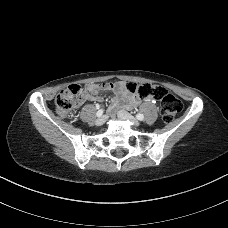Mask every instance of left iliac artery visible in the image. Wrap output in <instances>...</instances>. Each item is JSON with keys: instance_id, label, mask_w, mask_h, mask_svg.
Instances as JSON below:
<instances>
[{"instance_id": "obj_1", "label": "left iliac artery", "mask_w": 228, "mask_h": 228, "mask_svg": "<svg viewBox=\"0 0 228 228\" xmlns=\"http://www.w3.org/2000/svg\"><path fill=\"white\" fill-rule=\"evenodd\" d=\"M136 118H137L138 120H143V119H144V115L141 114V113H138V114L136 115Z\"/></svg>"}]
</instances>
